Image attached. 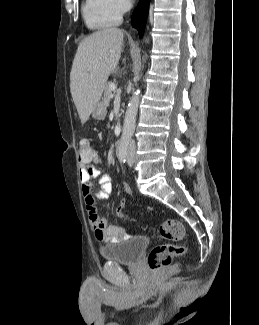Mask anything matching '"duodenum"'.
<instances>
[{
    "instance_id": "1",
    "label": "duodenum",
    "mask_w": 259,
    "mask_h": 325,
    "mask_svg": "<svg viewBox=\"0 0 259 325\" xmlns=\"http://www.w3.org/2000/svg\"><path fill=\"white\" fill-rule=\"evenodd\" d=\"M124 145V139H118L116 142H115V152L116 154L118 155L120 153V151L122 150V147Z\"/></svg>"
}]
</instances>
